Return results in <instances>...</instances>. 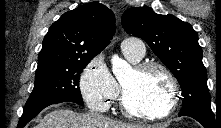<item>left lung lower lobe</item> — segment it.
Masks as SVG:
<instances>
[{
	"mask_svg": "<svg viewBox=\"0 0 221 128\" xmlns=\"http://www.w3.org/2000/svg\"><path fill=\"white\" fill-rule=\"evenodd\" d=\"M179 116H189L200 122L204 128H218L220 125L219 120L215 117L214 113H206L200 111L188 112L179 114Z\"/></svg>",
	"mask_w": 221,
	"mask_h": 128,
	"instance_id": "left-lung-lower-lobe-1",
	"label": "left lung lower lobe"
}]
</instances>
